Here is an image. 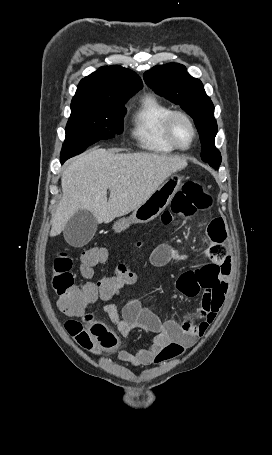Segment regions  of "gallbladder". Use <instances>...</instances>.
<instances>
[{
  "label": "gallbladder",
  "instance_id": "bac80fb5",
  "mask_svg": "<svg viewBox=\"0 0 272 455\" xmlns=\"http://www.w3.org/2000/svg\"><path fill=\"white\" fill-rule=\"evenodd\" d=\"M96 229L97 221L93 214L87 210H79L65 225L63 235L69 245L81 247L92 239Z\"/></svg>",
  "mask_w": 272,
  "mask_h": 455
}]
</instances>
